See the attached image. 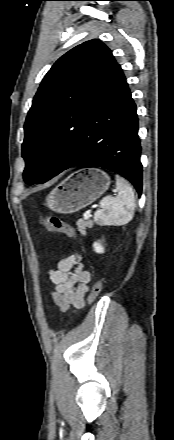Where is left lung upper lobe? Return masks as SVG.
Returning a JSON list of instances; mask_svg holds the SVG:
<instances>
[{"label": "left lung upper lobe", "mask_w": 174, "mask_h": 440, "mask_svg": "<svg viewBox=\"0 0 174 440\" xmlns=\"http://www.w3.org/2000/svg\"><path fill=\"white\" fill-rule=\"evenodd\" d=\"M117 65L111 50L93 39L68 51L48 71L24 125L27 184L48 181L76 154L85 120Z\"/></svg>", "instance_id": "5c2ea615"}]
</instances>
